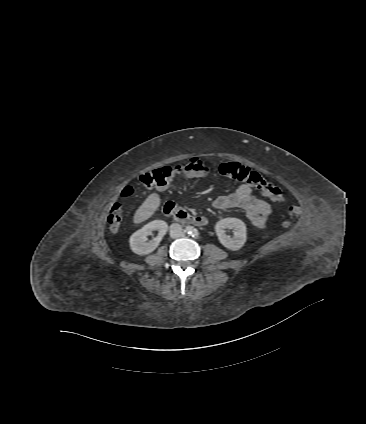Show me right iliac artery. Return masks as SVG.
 Masks as SVG:
<instances>
[{"label": "right iliac artery", "mask_w": 366, "mask_h": 424, "mask_svg": "<svg viewBox=\"0 0 366 424\" xmlns=\"http://www.w3.org/2000/svg\"><path fill=\"white\" fill-rule=\"evenodd\" d=\"M185 232L188 233V234H191L192 233V227L187 226L186 229H185Z\"/></svg>", "instance_id": "obj_1"}]
</instances>
